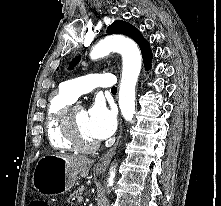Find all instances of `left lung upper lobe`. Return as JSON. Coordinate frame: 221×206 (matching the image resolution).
Here are the masks:
<instances>
[{
	"mask_svg": "<svg viewBox=\"0 0 221 206\" xmlns=\"http://www.w3.org/2000/svg\"><path fill=\"white\" fill-rule=\"evenodd\" d=\"M107 33L109 34H123L131 37L136 41L141 49L142 57L145 65V69L151 68L152 52L149 43L143 38L141 33L132 25L127 22L117 20L113 22L108 28ZM79 57H76L71 63V68L79 62Z\"/></svg>",
	"mask_w": 221,
	"mask_h": 206,
	"instance_id": "left-lung-upper-lobe-1",
	"label": "left lung upper lobe"
}]
</instances>
